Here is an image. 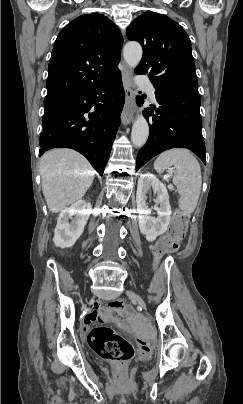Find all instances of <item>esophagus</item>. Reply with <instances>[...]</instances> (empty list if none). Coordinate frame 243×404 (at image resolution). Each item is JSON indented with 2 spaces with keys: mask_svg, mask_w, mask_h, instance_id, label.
Wrapping results in <instances>:
<instances>
[{
  "mask_svg": "<svg viewBox=\"0 0 243 404\" xmlns=\"http://www.w3.org/2000/svg\"><path fill=\"white\" fill-rule=\"evenodd\" d=\"M121 75L125 90V105L123 112L121 114V122L124 125H128L133 120V108L135 106V100H134V92L131 87L132 72L124 62L122 63Z\"/></svg>",
  "mask_w": 243,
  "mask_h": 404,
  "instance_id": "34e87169",
  "label": "esophagus"
}]
</instances>
